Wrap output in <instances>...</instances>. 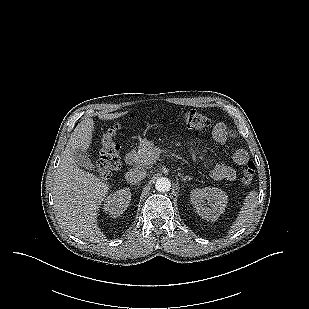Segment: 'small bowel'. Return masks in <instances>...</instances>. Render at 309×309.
Masks as SVG:
<instances>
[{"instance_id":"c3829d8e","label":"small bowel","mask_w":309,"mask_h":309,"mask_svg":"<svg viewBox=\"0 0 309 309\" xmlns=\"http://www.w3.org/2000/svg\"><path fill=\"white\" fill-rule=\"evenodd\" d=\"M212 136L217 143L224 145L229 138L233 137V133L224 123H218L213 129ZM232 159L237 166H243L249 161V155L245 150L239 149L233 154ZM211 176L218 181H232L236 178V170L219 163L212 169Z\"/></svg>"}]
</instances>
